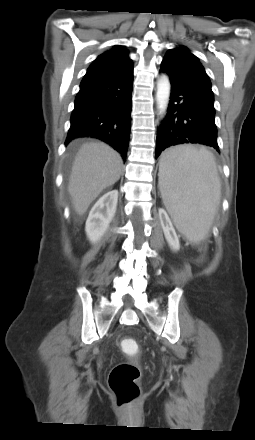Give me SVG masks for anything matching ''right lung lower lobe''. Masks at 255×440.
Wrapping results in <instances>:
<instances>
[{"label":"right lung lower lobe","mask_w":255,"mask_h":440,"mask_svg":"<svg viewBox=\"0 0 255 440\" xmlns=\"http://www.w3.org/2000/svg\"><path fill=\"white\" fill-rule=\"evenodd\" d=\"M133 65L87 85H81L71 115L66 144L79 137L103 140L126 159L131 128Z\"/></svg>","instance_id":"obj_1"}]
</instances>
